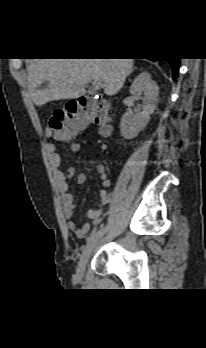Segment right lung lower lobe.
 I'll return each instance as SVG.
<instances>
[{
	"mask_svg": "<svg viewBox=\"0 0 206 348\" xmlns=\"http://www.w3.org/2000/svg\"><path fill=\"white\" fill-rule=\"evenodd\" d=\"M169 62V64L172 67V72H173V80H176L178 72H179V63L180 59L179 58H169L165 59Z\"/></svg>",
	"mask_w": 206,
	"mask_h": 348,
	"instance_id": "obj_1",
	"label": "right lung lower lobe"
}]
</instances>
